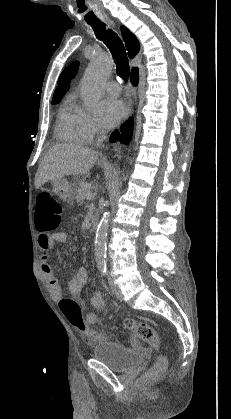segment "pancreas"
Returning <instances> with one entry per match:
<instances>
[{
    "instance_id": "pancreas-1",
    "label": "pancreas",
    "mask_w": 231,
    "mask_h": 419,
    "mask_svg": "<svg viewBox=\"0 0 231 419\" xmlns=\"http://www.w3.org/2000/svg\"><path fill=\"white\" fill-rule=\"evenodd\" d=\"M76 202L77 204L81 205L83 204L84 200H85V194L87 192H90V190L85 187L84 185H82L81 182L76 183Z\"/></svg>"
}]
</instances>
